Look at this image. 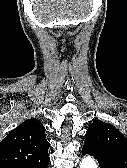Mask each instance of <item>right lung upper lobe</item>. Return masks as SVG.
<instances>
[{
  "label": "right lung upper lobe",
  "mask_w": 127,
  "mask_h": 168,
  "mask_svg": "<svg viewBox=\"0 0 127 168\" xmlns=\"http://www.w3.org/2000/svg\"><path fill=\"white\" fill-rule=\"evenodd\" d=\"M49 147L42 123L28 119L0 142V167L17 163L43 164L49 159Z\"/></svg>",
  "instance_id": "obj_1"
}]
</instances>
